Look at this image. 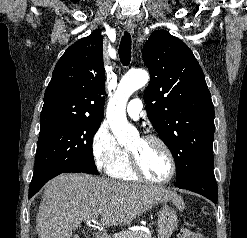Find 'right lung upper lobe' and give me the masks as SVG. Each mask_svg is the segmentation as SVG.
Masks as SVG:
<instances>
[{
    "mask_svg": "<svg viewBox=\"0 0 247 238\" xmlns=\"http://www.w3.org/2000/svg\"><path fill=\"white\" fill-rule=\"evenodd\" d=\"M105 69L99 30L72 44L57 62L46 88L40 126L104 116Z\"/></svg>",
    "mask_w": 247,
    "mask_h": 238,
    "instance_id": "1",
    "label": "right lung upper lobe"
}]
</instances>
